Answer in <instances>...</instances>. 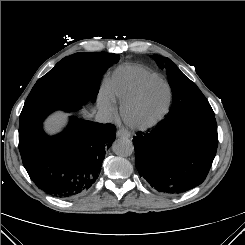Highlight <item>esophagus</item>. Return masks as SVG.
<instances>
[{"label":"esophagus","mask_w":245,"mask_h":245,"mask_svg":"<svg viewBox=\"0 0 245 245\" xmlns=\"http://www.w3.org/2000/svg\"><path fill=\"white\" fill-rule=\"evenodd\" d=\"M116 135L119 138H129L130 137V133L126 129H119L116 132Z\"/></svg>","instance_id":"esophagus-1"}]
</instances>
